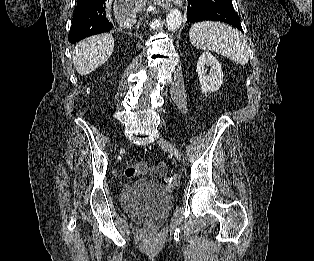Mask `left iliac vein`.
Wrapping results in <instances>:
<instances>
[{"mask_svg": "<svg viewBox=\"0 0 314 261\" xmlns=\"http://www.w3.org/2000/svg\"><path fill=\"white\" fill-rule=\"evenodd\" d=\"M158 144L160 146H162L163 148H165L176 159L181 160V153H180L179 149L174 144H172L170 141H168L164 138H160L158 140Z\"/></svg>", "mask_w": 314, "mask_h": 261, "instance_id": "4c4485c4", "label": "left iliac vein"}]
</instances>
